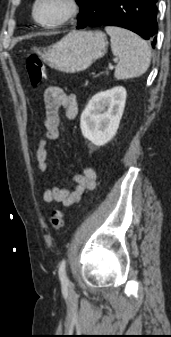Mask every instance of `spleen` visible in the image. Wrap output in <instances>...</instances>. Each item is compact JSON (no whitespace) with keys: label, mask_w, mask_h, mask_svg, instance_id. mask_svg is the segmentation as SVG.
I'll return each instance as SVG.
<instances>
[{"label":"spleen","mask_w":171,"mask_h":337,"mask_svg":"<svg viewBox=\"0 0 171 337\" xmlns=\"http://www.w3.org/2000/svg\"><path fill=\"white\" fill-rule=\"evenodd\" d=\"M113 55L119 58L114 76L118 80L139 77L149 68L151 50L148 43L126 29L107 26Z\"/></svg>","instance_id":"3e777b00"}]
</instances>
